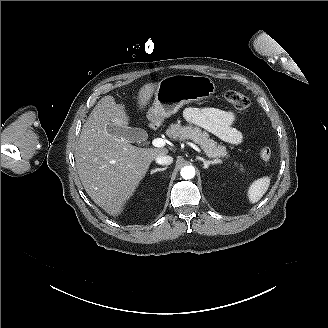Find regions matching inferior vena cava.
<instances>
[{
	"mask_svg": "<svg viewBox=\"0 0 328 328\" xmlns=\"http://www.w3.org/2000/svg\"><path fill=\"white\" fill-rule=\"evenodd\" d=\"M156 163L160 165H169L173 162V158L168 155L158 156L155 158Z\"/></svg>",
	"mask_w": 328,
	"mask_h": 328,
	"instance_id": "inferior-vena-cava-1",
	"label": "inferior vena cava"
}]
</instances>
